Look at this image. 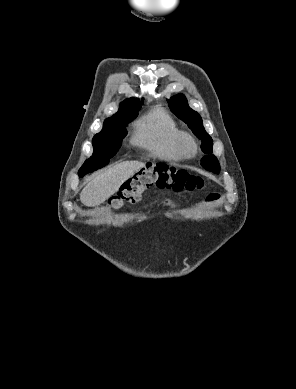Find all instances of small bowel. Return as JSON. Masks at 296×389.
Returning <instances> with one entry per match:
<instances>
[{
	"label": "small bowel",
	"mask_w": 296,
	"mask_h": 389,
	"mask_svg": "<svg viewBox=\"0 0 296 389\" xmlns=\"http://www.w3.org/2000/svg\"><path fill=\"white\" fill-rule=\"evenodd\" d=\"M218 198V196H216V195H211L210 197H209V201H213V200H216Z\"/></svg>",
	"instance_id": "obj_1"
}]
</instances>
